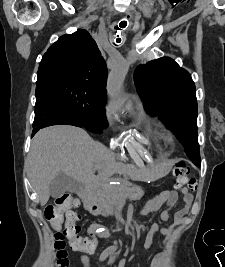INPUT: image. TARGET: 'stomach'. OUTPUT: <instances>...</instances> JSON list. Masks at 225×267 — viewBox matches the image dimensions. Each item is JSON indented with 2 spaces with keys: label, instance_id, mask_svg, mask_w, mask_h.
I'll list each match as a JSON object with an SVG mask.
<instances>
[{
  "label": "stomach",
  "instance_id": "stomach-1",
  "mask_svg": "<svg viewBox=\"0 0 225 267\" xmlns=\"http://www.w3.org/2000/svg\"><path fill=\"white\" fill-rule=\"evenodd\" d=\"M159 171V175H164V174H166L167 172H168V170H169V165L167 164V163H164V164H162V165H160L159 166V169H158Z\"/></svg>",
  "mask_w": 225,
  "mask_h": 267
}]
</instances>
